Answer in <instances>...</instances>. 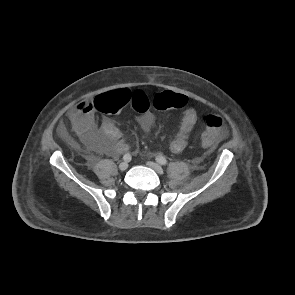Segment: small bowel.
Here are the masks:
<instances>
[{"label": "small bowel", "mask_w": 295, "mask_h": 295, "mask_svg": "<svg viewBox=\"0 0 295 295\" xmlns=\"http://www.w3.org/2000/svg\"><path fill=\"white\" fill-rule=\"evenodd\" d=\"M69 117L80 139L93 151L115 155L130 150L117 126L108 118H103L99 125L96 123L92 100H84L69 112ZM197 110L188 102L184 107L179 130L171 141L169 149L174 154H182L188 147L192 131L197 122ZM143 130L150 133L154 126L151 114H142L139 118Z\"/></svg>", "instance_id": "c3829d8e"}]
</instances>
